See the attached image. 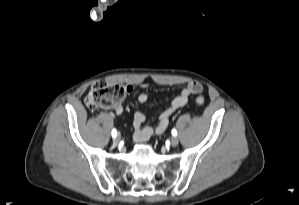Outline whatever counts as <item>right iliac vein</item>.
I'll use <instances>...</instances> for the list:
<instances>
[{"label": "right iliac vein", "instance_id": "right-iliac-vein-1", "mask_svg": "<svg viewBox=\"0 0 299 205\" xmlns=\"http://www.w3.org/2000/svg\"><path fill=\"white\" fill-rule=\"evenodd\" d=\"M119 140H120V136L118 135V136H116L115 138H114V143H118L119 142Z\"/></svg>", "mask_w": 299, "mask_h": 205}]
</instances>
